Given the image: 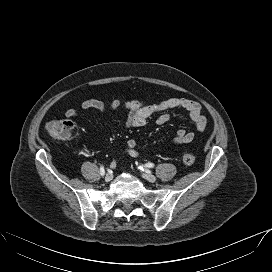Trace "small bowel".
I'll use <instances>...</instances> for the list:
<instances>
[{
    "mask_svg": "<svg viewBox=\"0 0 272 272\" xmlns=\"http://www.w3.org/2000/svg\"><path fill=\"white\" fill-rule=\"evenodd\" d=\"M81 108L83 110L95 109L101 113H104L107 108L111 111L123 109L128 113L125 125L129 128L142 127L149 118L155 115H158L156 120L157 124L163 125L169 120L170 110L183 109L189 114L197 131L202 132L207 127V119L201 112L200 104L186 98H169L155 103H145L138 100H130L122 103L114 99L109 102L108 106L101 100L88 99L81 103ZM77 115L78 112L74 108L65 111L67 118H75ZM194 137V132L178 129L173 143L175 145L189 144L194 140ZM124 152L132 158H137L139 152L136 149V141L133 139L128 140ZM115 165L116 161H113L112 166L114 167Z\"/></svg>",
    "mask_w": 272,
    "mask_h": 272,
    "instance_id": "small-bowel-1",
    "label": "small bowel"
}]
</instances>
